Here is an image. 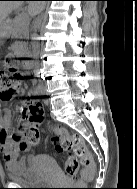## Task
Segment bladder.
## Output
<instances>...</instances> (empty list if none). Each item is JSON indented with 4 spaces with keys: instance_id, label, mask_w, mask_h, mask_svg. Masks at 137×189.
I'll return each instance as SVG.
<instances>
[{
    "instance_id": "bladder-1",
    "label": "bladder",
    "mask_w": 137,
    "mask_h": 189,
    "mask_svg": "<svg viewBox=\"0 0 137 189\" xmlns=\"http://www.w3.org/2000/svg\"><path fill=\"white\" fill-rule=\"evenodd\" d=\"M7 176L10 181L23 185H47L59 178L60 170L52 156L42 155L33 165L19 171L10 170Z\"/></svg>"
}]
</instances>
